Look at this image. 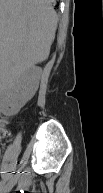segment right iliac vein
I'll return each mask as SVG.
<instances>
[{
  "label": "right iliac vein",
  "mask_w": 103,
  "mask_h": 193,
  "mask_svg": "<svg viewBox=\"0 0 103 193\" xmlns=\"http://www.w3.org/2000/svg\"><path fill=\"white\" fill-rule=\"evenodd\" d=\"M17 179H18V178L15 177V178L9 183V185H8V187H7L8 190L11 189V188L15 185V183L17 182Z\"/></svg>",
  "instance_id": "obj_1"
}]
</instances>
